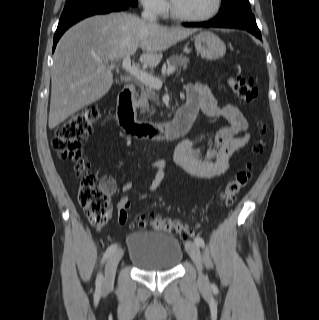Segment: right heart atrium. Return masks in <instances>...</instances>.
<instances>
[{"label":"right heart atrium","instance_id":"right-heart-atrium-1","mask_svg":"<svg viewBox=\"0 0 319 320\" xmlns=\"http://www.w3.org/2000/svg\"><path fill=\"white\" fill-rule=\"evenodd\" d=\"M143 8L156 16H163L168 9L166 0H140Z\"/></svg>","mask_w":319,"mask_h":320}]
</instances>
